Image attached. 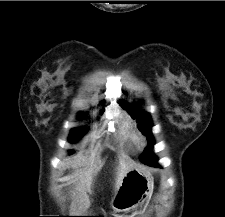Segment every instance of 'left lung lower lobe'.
<instances>
[{
    "mask_svg": "<svg viewBox=\"0 0 225 217\" xmlns=\"http://www.w3.org/2000/svg\"><path fill=\"white\" fill-rule=\"evenodd\" d=\"M153 145H154V141L152 140V141L149 142L147 148H150ZM144 154L146 155V157H142L140 159L141 162H143L144 164L150 165V166H156V167H158L157 159H156V157L151 152H149L148 150H146V152Z\"/></svg>",
    "mask_w": 225,
    "mask_h": 217,
    "instance_id": "obj_1",
    "label": "left lung lower lobe"
}]
</instances>
